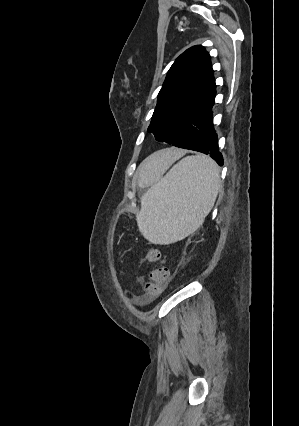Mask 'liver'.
Returning a JSON list of instances; mask_svg holds the SVG:
<instances>
[{
	"label": "liver",
	"mask_w": 299,
	"mask_h": 426,
	"mask_svg": "<svg viewBox=\"0 0 299 426\" xmlns=\"http://www.w3.org/2000/svg\"><path fill=\"white\" fill-rule=\"evenodd\" d=\"M171 150L166 151H158L152 155H150L148 158H146L143 163L140 165L139 173H143L150 169L154 164L166 159L169 154L171 153Z\"/></svg>",
	"instance_id": "6515ba94"
}]
</instances>
